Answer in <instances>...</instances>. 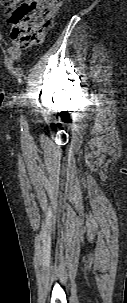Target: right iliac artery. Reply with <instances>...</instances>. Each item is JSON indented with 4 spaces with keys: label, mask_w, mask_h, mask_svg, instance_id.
Masks as SVG:
<instances>
[{
    "label": "right iliac artery",
    "mask_w": 127,
    "mask_h": 303,
    "mask_svg": "<svg viewBox=\"0 0 127 303\" xmlns=\"http://www.w3.org/2000/svg\"><path fill=\"white\" fill-rule=\"evenodd\" d=\"M21 119H22V121H23V119H24L23 116L21 117Z\"/></svg>",
    "instance_id": "obj_1"
}]
</instances>
